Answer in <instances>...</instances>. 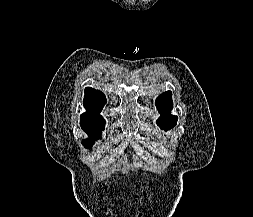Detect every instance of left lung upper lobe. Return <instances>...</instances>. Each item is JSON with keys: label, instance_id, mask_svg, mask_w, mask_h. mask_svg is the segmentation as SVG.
<instances>
[{"label": "left lung upper lobe", "instance_id": "left-lung-upper-lobe-1", "mask_svg": "<svg viewBox=\"0 0 253 217\" xmlns=\"http://www.w3.org/2000/svg\"><path fill=\"white\" fill-rule=\"evenodd\" d=\"M156 107L161 114L157 125L164 130H169L177 124L178 117L170 114L173 108L172 93L167 91L156 99Z\"/></svg>", "mask_w": 253, "mask_h": 217}]
</instances>
